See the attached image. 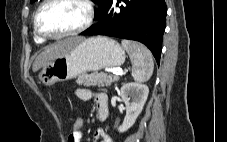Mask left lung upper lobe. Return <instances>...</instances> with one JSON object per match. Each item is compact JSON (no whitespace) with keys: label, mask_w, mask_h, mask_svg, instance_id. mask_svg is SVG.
Segmentation results:
<instances>
[{"label":"left lung upper lobe","mask_w":227,"mask_h":142,"mask_svg":"<svg viewBox=\"0 0 227 142\" xmlns=\"http://www.w3.org/2000/svg\"><path fill=\"white\" fill-rule=\"evenodd\" d=\"M35 0H31V3H33ZM95 3L99 5V9L95 10V18H98L101 11L105 8L109 0H94Z\"/></svg>","instance_id":"5c2ea615"}]
</instances>
